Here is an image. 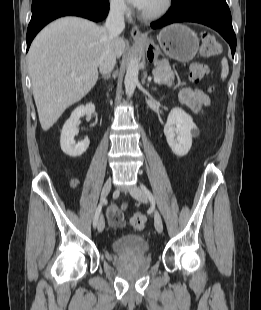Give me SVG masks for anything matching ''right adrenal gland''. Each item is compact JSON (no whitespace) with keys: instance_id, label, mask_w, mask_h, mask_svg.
<instances>
[{"instance_id":"right-adrenal-gland-1","label":"right adrenal gland","mask_w":261,"mask_h":310,"mask_svg":"<svg viewBox=\"0 0 261 310\" xmlns=\"http://www.w3.org/2000/svg\"><path fill=\"white\" fill-rule=\"evenodd\" d=\"M102 78H104L105 80L109 79V75H104Z\"/></svg>"}]
</instances>
